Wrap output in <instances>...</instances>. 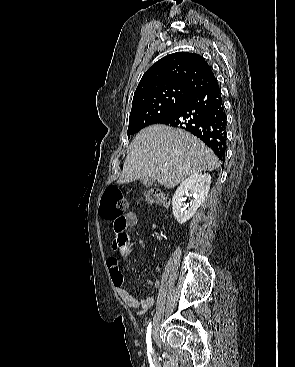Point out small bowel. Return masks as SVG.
I'll use <instances>...</instances> for the list:
<instances>
[{
	"instance_id": "small-bowel-1",
	"label": "small bowel",
	"mask_w": 295,
	"mask_h": 367,
	"mask_svg": "<svg viewBox=\"0 0 295 367\" xmlns=\"http://www.w3.org/2000/svg\"><path fill=\"white\" fill-rule=\"evenodd\" d=\"M137 223H138L137 215L133 212H127L126 214L122 216V218L119 221L113 222V233H114V239L112 243L113 251L118 250L125 231L129 227L135 226ZM106 264L109 269L111 280L121 300L129 307L136 309L137 314L139 316L145 314L153 306L155 302L154 297L149 296L144 299L135 298L125 288L124 277L118 267L117 259L114 256H110L107 259ZM147 284L151 286L159 287L160 282L157 279L147 280Z\"/></svg>"
}]
</instances>
